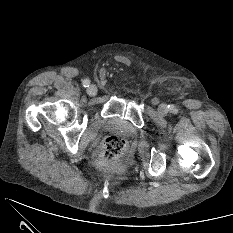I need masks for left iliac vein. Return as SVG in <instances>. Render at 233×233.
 Masks as SVG:
<instances>
[{
	"label": "left iliac vein",
	"mask_w": 233,
	"mask_h": 233,
	"mask_svg": "<svg viewBox=\"0 0 233 233\" xmlns=\"http://www.w3.org/2000/svg\"><path fill=\"white\" fill-rule=\"evenodd\" d=\"M168 107L166 104H161L159 105L158 107V112L161 114V115H166L168 113Z\"/></svg>",
	"instance_id": "obj_1"
}]
</instances>
